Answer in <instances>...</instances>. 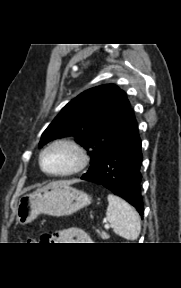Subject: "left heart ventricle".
<instances>
[{"mask_svg":"<svg viewBox=\"0 0 181 288\" xmlns=\"http://www.w3.org/2000/svg\"><path fill=\"white\" fill-rule=\"evenodd\" d=\"M76 163V156L68 148L54 147L44 156V166L50 172H64Z\"/></svg>","mask_w":181,"mask_h":288,"instance_id":"1","label":"left heart ventricle"}]
</instances>
